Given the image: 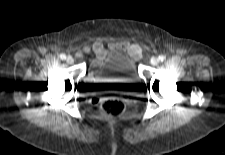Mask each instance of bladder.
I'll list each match as a JSON object with an SVG mask.
<instances>
[{
	"instance_id": "1",
	"label": "bladder",
	"mask_w": 225,
	"mask_h": 155,
	"mask_svg": "<svg viewBox=\"0 0 225 155\" xmlns=\"http://www.w3.org/2000/svg\"><path fill=\"white\" fill-rule=\"evenodd\" d=\"M91 78H102L135 95L141 91L140 77L134 60L122 50H113L98 58L90 69Z\"/></svg>"
}]
</instances>
